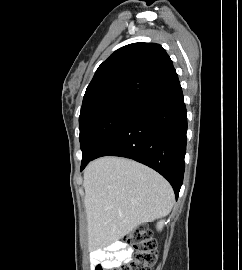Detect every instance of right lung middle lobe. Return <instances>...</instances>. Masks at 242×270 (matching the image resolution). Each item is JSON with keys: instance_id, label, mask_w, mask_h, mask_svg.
<instances>
[{"instance_id": "dd1d6c3e", "label": "right lung middle lobe", "mask_w": 242, "mask_h": 270, "mask_svg": "<svg viewBox=\"0 0 242 270\" xmlns=\"http://www.w3.org/2000/svg\"><path fill=\"white\" fill-rule=\"evenodd\" d=\"M135 102L113 101L98 105L80 113V147L82 163L90 160L102 144L117 130Z\"/></svg>"}]
</instances>
